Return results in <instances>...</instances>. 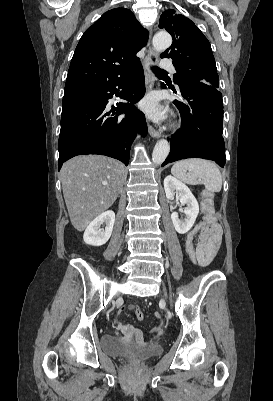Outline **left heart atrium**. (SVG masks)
Instances as JSON below:
<instances>
[{"mask_svg":"<svg viewBox=\"0 0 273 401\" xmlns=\"http://www.w3.org/2000/svg\"><path fill=\"white\" fill-rule=\"evenodd\" d=\"M140 108L153 119H159L163 116V111L155 98L146 99L140 104Z\"/></svg>","mask_w":273,"mask_h":401,"instance_id":"left-heart-atrium-1","label":"left heart atrium"}]
</instances>
